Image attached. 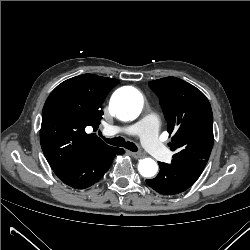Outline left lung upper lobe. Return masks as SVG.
I'll return each mask as SVG.
<instances>
[{
	"label": "left lung upper lobe",
	"instance_id": "1",
	"mask_svg": "<svg viewBox=\"0 0 250 250\" xmlns=\"http://www.w3.org/2000/svg\"><path fill=\"white\" fill-rule=\"evenodd\" d=\"M160 99L175 152L172 162L203 160L207 163L213 146V114L206 96L176 77L149 83Z\"/></svg>",
	"mask_w": 250,
	"mask_h": 250
}]
</instances>
